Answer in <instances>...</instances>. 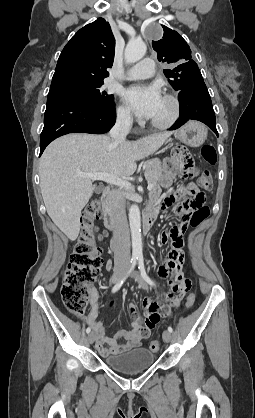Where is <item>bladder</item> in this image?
I'll return each mask as SVG.
<instances>
[{
    "instance_id": "obj_1",
    "label": "bladder",
    "mask_w": 255,
    "mask_h": 418,
    "mask_svg": "<svg viewBox=\"0 0 255 418\" xmlns=\"http://www.w3.org/2000/svg\"><path fill=\"white\" fill-rule=\"evenodd\" d=\"M154 360V352L141 347L125 353L107 356L104 362L118 372L134 373L149 368Z\"/></svg>"
}]
</instances>
